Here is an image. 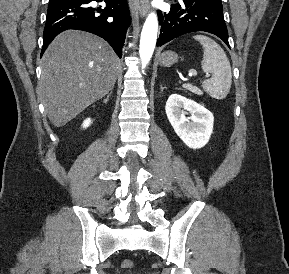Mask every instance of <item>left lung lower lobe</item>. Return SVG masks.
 <instances>
[{"mask_svg": "<svg viewBox=\"0 0 289 274\" xmlns=\"http://www.w3.org/2000/svg\"><path fill=\"white\" fill-rule=\"evenodd\" d=\"M170 1L172 5L169 12L158 11L161 31L157 46L186 33L205 31L218 36L230 47L221 0Z\"/></svg>", "mask_w": 289, "mask_h": 274, "instance_id": "0a47b994", "label": "left lung lower lobe"}]
</instances>
